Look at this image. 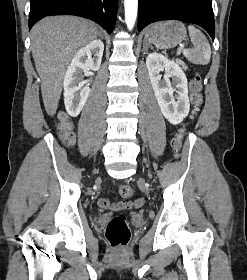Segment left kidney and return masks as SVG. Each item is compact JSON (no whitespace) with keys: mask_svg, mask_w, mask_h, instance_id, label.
Wrapping results in <instances>:
<instances>
[{"mask_svg":"<svg viewBox=\"0 0 247 280\" xmlns=\"http://www.w3.org/2000/svg\"><path fill=\"white\" fill-rule=\"evenodd\" d=\"M146 66L163 116L173 125L181 123L190 110L188 82L181 67L155 52L147 56ZM164 69L167 72V78L161 81L159 73ZM169 77L172 78V83ZM174 92H176L175 96Z\"/></svg>","mask_w":247,"mask_h":280,"instance_id":"obj_1","label":"left kidney"}]
</instances>
